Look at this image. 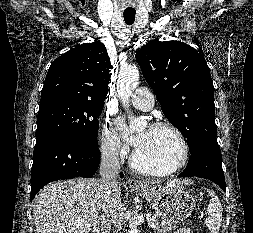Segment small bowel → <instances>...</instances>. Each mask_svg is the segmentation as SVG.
I'll return each instance as SVG.
<instances>
[{
	"label": "small bowel",
	"instance_id": "obj_1",
	"mask_svg": "<svg viewBox=\"0 0 253 233\" xmlns=\"http://www.w3.org/2000/svg\"><path fill=\"white\" fill-rule=\"evenodd\" d=\"M175 233H192V231L188 228H182Z\"/></svg>",
	"mask_w": 253,
	"mask_h": 233
}]
</instances>
